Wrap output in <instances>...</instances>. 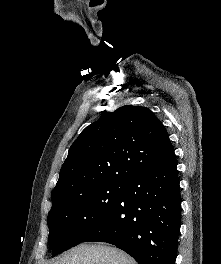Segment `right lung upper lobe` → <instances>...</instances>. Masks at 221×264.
I'll return each instance as SVG.
<instances>
[{
    "label": "right lung upper lobe",
    "instance_id": "cb5924a9",
    "mask_svg": "<svg viewBox=\"0 0 221 264\" xmlns=\"http://www.w3.org/2000/svg\"><path fill=\"white\" fill-rule=\"evenodd\" d=\"M175 156L161 121L146 107L123 106L88 126L70 147L52 191V209L69 196L128 178Z\"/></svg>",
    "mask_w": 221,
    "mask_h": 264
}]
</instances>
